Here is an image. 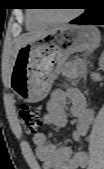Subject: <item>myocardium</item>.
Returning a JSON list of instances; mask_svg holds the SVG:
<instances>
[{
  "instance_id": "myocardium-1",
  "label": "myocardium",
  "mask_w": 104,
  "mask_h": 169,
  "mask_svg": "<svg viewBox=\"0 0 104 169\" xmlns=\"http://www.w3.org/2000/svg\"><path fill=\"white\" fill-rule=\"evenodd\" d=\"M76 16H77V11H74L73 13H71L69 15H66L64 17L57 18V19H50V18L43 16V15H39L38 17L45 23L58 24V23L68 22V21L74 19Z\"/></svg>"
}]
</instances>
